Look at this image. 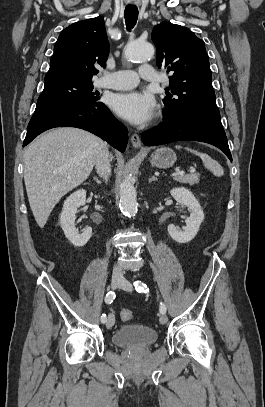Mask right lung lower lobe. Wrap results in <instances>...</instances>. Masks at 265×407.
Listing matches in <instances>:
<instances>
[{"instance_id":"obj_1","label":"right lung lower lobe","mask_w":265,"mask_h":407,"mask_svg":"<svg viewBox=\"0 0 265 407\" xmlns=\"http://www.w3.org/2000/svg\"><path fill=\"white\" fill-rule=\"evenodd\" d=\"M63 126L87 130L106 140L119 151H125L128 140L127 128L111 114L102 102L65 109L31 119L23 146L29 144L45 130Z\"/></svg>"}]
</instances>
